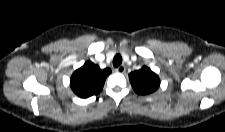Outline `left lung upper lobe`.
I'll use <instances>...</instances> for the list:
<instances>
[{"label": "left lung upper lobe", "mask_w": 225, "mask_h": 132, "mask_svg": "<svg viewBox=\"0 0 225 132\" xmlns=\"http://www.w3.org/2000/svg\"><path fill=\"white\" fill-rule=\"evenodd\" d=\"M129 79L133 89L138 94H150L156 91L160 85L159 77L146 66L131 72Z\"/></svg>", "instance_id": "5c2ea615"}]
</instances>
